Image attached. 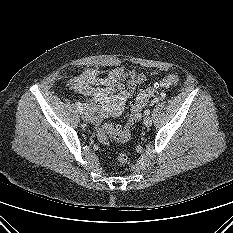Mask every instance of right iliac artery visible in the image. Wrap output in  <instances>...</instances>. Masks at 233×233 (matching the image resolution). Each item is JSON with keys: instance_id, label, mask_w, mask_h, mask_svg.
Returning a JSON list of instances; mask_svg holds the SVG:
<instances>
[{"instance_id": "1", "label": "right iliac artery", "mask_w": 233, "mask_h": 233, "mask_svg": "<svg viewBox=\"0 0 233 233\" xmlns=\"http://www.w3.org/2000/svg\"><path fill=\"white\" fill-rule=\"evenodd\" d=\"M76 106H77V109L80 113H83V107H82V104L79 102V101H76L75 102Z\"/></svg>"}]
</instances>
